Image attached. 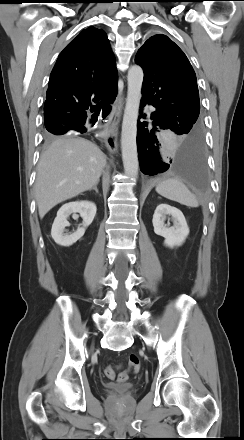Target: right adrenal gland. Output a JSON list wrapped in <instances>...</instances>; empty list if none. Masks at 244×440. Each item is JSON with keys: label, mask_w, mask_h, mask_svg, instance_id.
<instances>
[{"label": "right adrenal gland", "mask_w": 244, "mask_h": 440, "mask_svg": "<svg viewBox=\"0 0 244 440\" xmlns=\"http://www.w3.org/2000/svg\"><path fill=\"white\" fill-rule=\"evenodd\" d=\"M97 185L98 183H96L91 190H95L96 193H99Z\"/></svg>", "instance_id": "1"}]
</instances>
